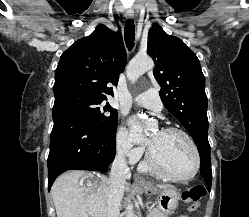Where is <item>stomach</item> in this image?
Returning a JSON list of instances; mask_svg holds the SVG:
<instances>
[{
    "label": "stomach",
    "instance_id": "0dacf381",
    "mask_svg": "<svg viewBox=\"0 0 249 217\" xmlns=\"http://www.w3.org/2000/svg\"><path fill=\"white\" fill-rule=\"evenodd\" d=\"M141 190L145 193L158 194V208L164 214H171L178 207L180 195L177 190L172 186H169L165 189H158L148 184L146 186H143Z\"/></svg>",
    "mask_w": 249,
    "mask_h": 217
}]
</instances>
